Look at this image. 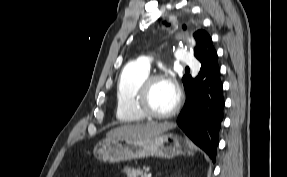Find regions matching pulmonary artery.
<instances>
[{
    "mask_svg": "<svg viewBox=\"0 0 287 177\" xmlns=\"http://www.w3.org/2000/svg\"><path fill=\"white\" fill-rule=\"evenodd\" d=\"M177 54H178V64L182 66H196L198 64L197 59L190 54L186 49H177ZM137 63L141 65L142 67L150 70V60L143 56L137 59Z\"/></svg>",
    "mask_w": 287,
    "mask_h": 177,
    "instance_id": "1",
    "label": "pulmonary artery"
}]
</instances>
